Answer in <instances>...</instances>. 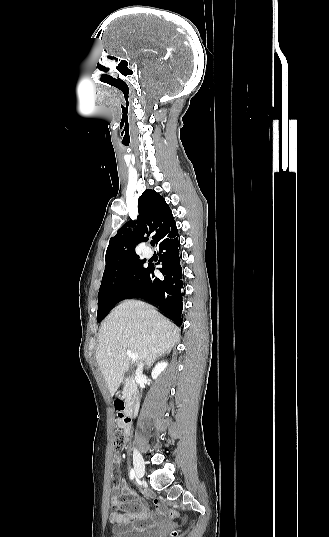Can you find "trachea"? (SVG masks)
<instances>
[{"label":"trachea","mask_w":329,"mask_h":537,"mask_svg":"<svg viewBox=\"0 0 329 537\" xmlns=\"http://www.w3.org/2000/svg\"><path fill=\"white\" fill-rule=\"evenodd\" d=\"M151 245L154 246V245H155V241H151Z\"/></svg>","instance_id":"trachea-1"}]
</instances>
